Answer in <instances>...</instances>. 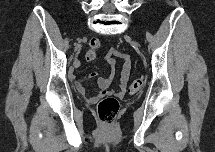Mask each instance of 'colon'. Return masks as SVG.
Returning a JSON list of instances; mask_svg holds the SVG:
<instances>
[{
  "instance_id": "5ec220e1",
  "label": "colon",
  "mask_w": 215,
  "mask_h": 152,
  "mask_svg": "<svg viewBox=\"0 0 215 152\" xmlns=\"http://www.w3.org/2000/svg\"><path fill=\"white\" fill-rule=\"evenodd\" d=\"M100 41L97 38H92L89 42L90 49L86 53V60L91 62L95 59V49L99 48ZM143 78L139 77L132 81L128 88L130 94H135L140 91L143 85ZM120 110L119 100L113 96H107L101 99L97 105V113L102 122L111 124Z\"/></svg>"
}]
</instances>
